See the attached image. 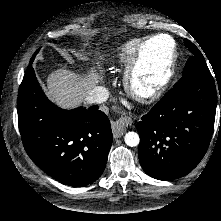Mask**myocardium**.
I'll return each instance as SVG.
<instances>
[{
    "label": "myocardium",
    "instance_id": "myocardium-1",
    "mask_svg": "<svg viewBox=\"0 0 221 221\" xmlns=\"http://www.w3.org/2000/svg\"><path fill=\"white\" fill-rule=\"evenodd\" d=\"M157 37H166L171 42V49L163 64L150 76L145 68L147 49ZM177 62V45L174 38L166 33L154 34L143 39L128 63L124 83L129 95L143 103L156 101L169 85Z\"/></svg>",
    "mask_w": 221,
    "mask_h": 221
}]
</instances>
